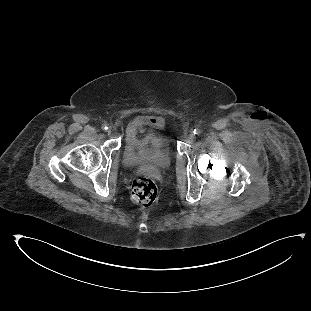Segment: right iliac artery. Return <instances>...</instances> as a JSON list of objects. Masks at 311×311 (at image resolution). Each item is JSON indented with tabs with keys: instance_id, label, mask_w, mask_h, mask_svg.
Listing matches in <instances>:
<instances>
[{
	"instance_id": "obj_1",
	"label": "right iliac artery",
	"mask_w": 311,
	"mask_h": 311,
	"mask_svg": "<svg viewBox=\"0 0 311 311\" xmlns=\"http://www.w3.org/2000/svg\"><path fill=\"white\" fill-rule=\"evenodd\" d=\"M102 130H107L108 129V127H107V125L106 124H104V125H102Z\"/></svg>"
}]
</instances>
